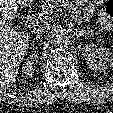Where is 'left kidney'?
Masks as SVG:
<instances>
[{
    "mask_svg": "<svg viewBox=\"0 0 113 113\" xmlns=\"http://www.w3.org/2000/svg\"><path fill=\"white\" fill-rule=\"evenodd\" d=\"M82 50L83 57L89 69L100 72L105 71L109 54L106 48L86 45Z\"/></svg>",
    "mask_w": 113,
    "mask_h": 113,
    "instance_id": "5707ae66",
    "label": "left kidney"
}]
</instances>
